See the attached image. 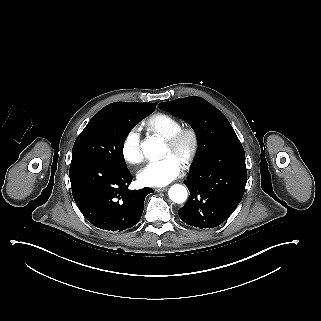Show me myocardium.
Returning <instances> with one entry per match:
<instances>
[{
  "instance_id": "myocardium-1",
  "label": "myocardium",
  "mask_w": 321,
  "mask_h": 321,
  "mask_svg": "<svg viewBox=\"0 0 321 321\" xmlns=\"http://www.w3.org/2000/svg\"><path fill=\"white\" fill-rule=\"evenodd\" d=\"M170 150L178 155L185 167L191 166L198 155L200 147L199 133L196 128H180L170 137H163Z\"/></svg>"
}]
</instances>
